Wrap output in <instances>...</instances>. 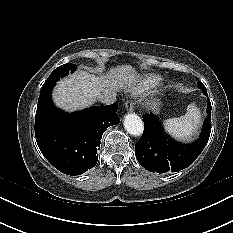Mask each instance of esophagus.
<instances>
[{"label": "esophagus", "mask_w": 233, "mask_h": 233, "mask_svg": "<svg viewBox=\"0 0 233 233\" xmlns=\"http://www.w3.org/2000/svg\"><path fill=\"white\" fill-rule=\"evenodd\" d=\"M125 107H126L127 111H129V112L133 111V103L131 101H126Z\"/></svg>", "instance_id": "obj_1"}]
</instances>
